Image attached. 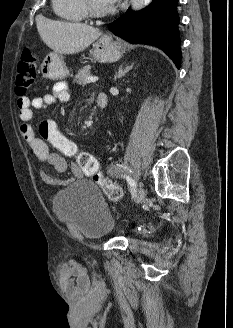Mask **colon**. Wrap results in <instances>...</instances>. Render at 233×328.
I'll use <instances>...</instances> for the list:
<instances>
[{
    "mask_svg": "<svg viewBox=\"0 0 233 328\" xmlns=\"http://www.w3.org/2000/svg\"><path fill=\"white\" fill-rule=\"evenodd\" d=\"M36 73L35 56L29 48H25L17 65L15 89L18 95L23 96L32 86L36 78ZM40 134L44 140L50 142L62 154L66 156H77L78 166L84 174L93 177L101 186L107 198L112 201H118L122 198L123 193L121 188L99 171L98 161L91 154L80 152L76 144L59 132L51 122L44 121L41 123Z\"/></svg>",
    "mask_w": 233,
    "mask_h": 328,
    "instance_id": "1",
    "label": "colon"
}]
</instances>
